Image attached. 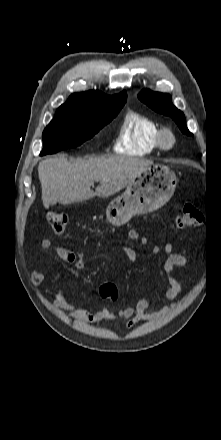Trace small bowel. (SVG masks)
Masks as SVG:
<instances>
[{
    "mask_svg": "<svg viewBox=\"0 0 221 440\" xmlns=\"http://www.w3.org/2000/svg\"><path fill=\"white\" fill-rule=\"evenodd\" d=\"M128 237L133 241L139 242L140 244L147 243V238L141 236L140 233L135 229H131L128 232ZM41 246L43 249L52 248L60 259L67 263L73 264L79 270H83L87 266L85 255L81 252H76L71 249L55 245L49 239L42 240ZM119 248L131 264L136 262L137 252L133 248L123 244L119 245ZM160 251L161 249L159 246H153L150 250V253L156 255ZM163 251L166 254L163 269L166 275L168 287L162 291V296L167 300H171L172 303L163 307L159 311L152 313L149 312L151 302L147 299H140L134 306L127 307L125 309L111 310L107 307H103L96 312H91L85 306H78L69 303L64 288H58L56 290L54 294L53 306L66 311L67 315L71 319L90 324H99L100 322L110 321L116 318H124L127 320L125 327L131 328L138 322L160 318L176 307L177 304L174 300L183 291L181 284L173 274L174 269L176 267H186L188 265V259L186 256L182 253L173 252V248L170 243H166L164 245ZM31 276L32 279L37 283L42 282L44 279V275L39 268L34 269L31 272Z\"/></svg>",
    "mask_w": 221,
    "mask_h": 440,
    "instance_id": "small-bowel-1",
    "label": "small bowel"
}]
</instances>
